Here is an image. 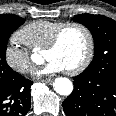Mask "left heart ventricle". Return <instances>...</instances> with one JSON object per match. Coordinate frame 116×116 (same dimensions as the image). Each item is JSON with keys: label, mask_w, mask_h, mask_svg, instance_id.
I'll use <instances>...</instances> for the list:
<instances>
[{"label": "left heart ventricle", "mask_w": 116, "mask_h": 116, "mask_svg": "<svg viewBox=\"0 0 116 116\" xmlns=\"http://www.w3.org/2000/svg\"><path fill=\"white\" fill-rule=\"evenodd\" d=\"M87 36L79 28H69L64 32L58 46L49 51H44L45 59H55L63 64L65 70L77 66L87 52Z\"/></svg>", "instance_id": "1"}]
</instances>
